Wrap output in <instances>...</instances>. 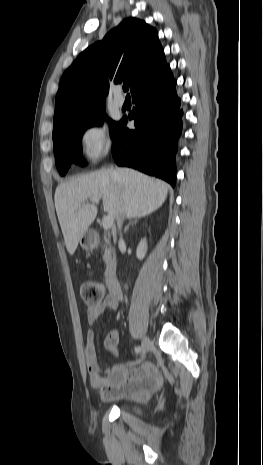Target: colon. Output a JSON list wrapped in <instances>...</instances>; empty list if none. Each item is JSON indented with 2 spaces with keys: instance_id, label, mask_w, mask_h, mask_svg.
Instances as JSON below:
<instances>
[{
  "instance_id": "1",
  "label": "colon",
  "mask_w": 263,
  "mask_h": 465,
  "mask_svg": "<svg viewBox=\"0 0 263 465\" xmlns=\"http://www.w3.org/2000/svg\"><path fill=\"white\" fill-rule=\"evenodd\" d=\"M80 295L86 305L89 307L95 306L102 301L105 295V287L100 282L88 280L82 283Z\"/></svg>"
}]
</instances>
